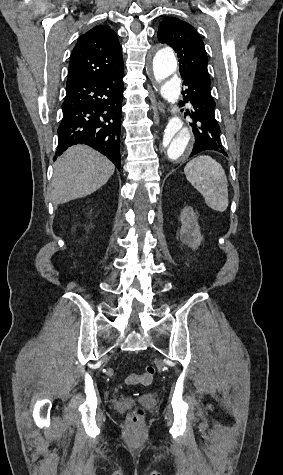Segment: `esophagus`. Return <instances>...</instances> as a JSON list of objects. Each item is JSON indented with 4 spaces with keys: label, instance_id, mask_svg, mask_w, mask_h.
Instances as JSON below:
<instances>
[{
    "label": "esophagus",
    "instance_id": "34e87169",
    "mask_svg": "<svg viewBox=\"0 0 283 475\" xmlns=\"http://www.w3.org/2000/svg\"><path fill=\"white\" fill-rule=\"evenodd\" d=\"M158 108L161 112H165V105L163 103H158Z\"/></svg>",
    "mask_w": 283,
    "mask_h": 475
}]
</instances>
